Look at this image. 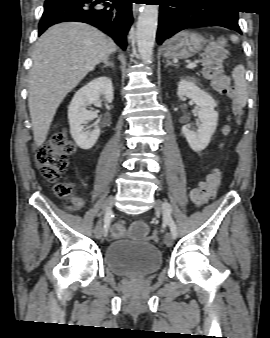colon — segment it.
<instances>
[{
	"mask_svg": "<svg viewBox=\"0 0 270 338\" xmlns=\"http://www.w3.org/2000/svg\"><path fill=\"white\" fill-rule=\"evenodd\" d=\"M229 53L228 43L218 40L205 46L201 54L202 74L210 80L213 89L221 94L231 97L233 91L229 86L228 77L222 72L221 63ZM225 133L230 132V127H223ZM75 145L64 134H57L45 142L36 153V163L42 177L54 183L55 195L59 198H67L72 193V186L61 178L64 176L70 154ZM223 182V175L219 169L213 170L206 180L200 182L199 186L191 192V200L197 206H201L212 198ZM71 209H78L80 205L73 203ZM154 241L158 240V234L152 235Z\"/></svg>",
	"mask_w": 270,
	"mask_h": 338,
	"instance_id": "colon-1",
	"label": "colon"
}]
</instances>
